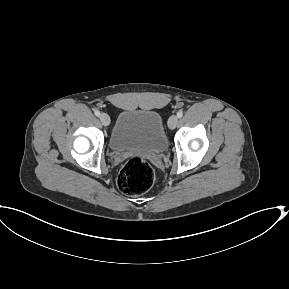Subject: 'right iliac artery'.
Wrapping results in <instances>:
<instances>
[{
  "label": "right iliac artery",
  "instance_id": "82829eb1",
  "mask_svg": "<svg viewBox=\"0 0 289 289\" xmlns=\"http://www.w3.org/2000/svg\"><path fill=\"white\" fill-rule=\"evenodd\" d=\"M94 114H95L96 116H100V111L97 110V109H95V110H94Z\"/></svg>",
  "mask_w": 289,
  "mask_h": 289
}]
</instances>
